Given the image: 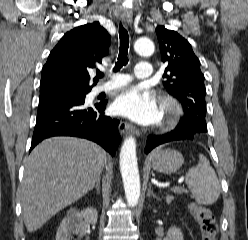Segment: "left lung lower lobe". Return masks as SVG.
Returning a JSON list of instances; mask_svg holds the SVG:
<instances>
[{
	"label": "left lung lower lobe",
	"mask_w": 248,
	"mask_h": 240,
	"mask_svg": "<svg viewBox=\"0 0 248 240\" xmlns=\"http://www.w3.org/2000/svg\"><path fill=\"white\" fill-rule=\"evenodd\" d=\"M193 132L181 129H174L173 131L164 134V135H150L147 141V147L145 148V153L150 152L156 146L177 140H193L194 138Z\"/></svg>",
	"instance_id": "obj_1"
}]
</instances>
